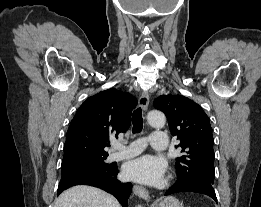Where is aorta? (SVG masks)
I'll return each mask as SVG.
<instances>
[{"label": "aorta", "mask_w": 261, "mask_h": 207, "mask_svg": "<svg viewBox=\"0 0 261 207\" xmlns=\"http://www.w3.org/2000/svg\"><path fill=\"white\" fill-rule=\"evenodd\" d=\"M148 123L155 128H162L165 125L166 118L161 111L152 110L147 115ZM138 207H142L139 205Z\"/></svg>", "instance_id": "762f6f07"}]
</instances>
